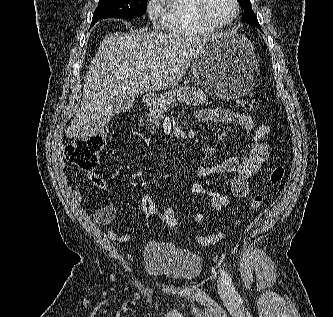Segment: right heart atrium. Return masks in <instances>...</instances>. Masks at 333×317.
<instances>
[{"label": "right heart atrium", "mask_w": 333, "mask_h": 317, "mask_svg": "<svg viewBox=\"0 0 333 317\" xmlns=\"http://www.w3.org/2000/svg\"><path fill=\"white\" fill-rule=\"evenodd\" d=\"M146 14L155 28L163 27L162 0H147Z\"/></svg>", "instance_id": "1"}]
</instances>
